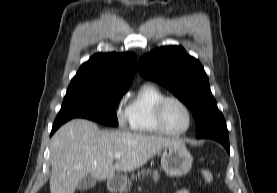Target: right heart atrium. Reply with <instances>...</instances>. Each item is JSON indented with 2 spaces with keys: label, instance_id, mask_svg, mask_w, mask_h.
Wrapping results in <instances>:
<instances>
[{
  "label": "right heart atrium",
  "instance_id": "1",
  "mask_svg": "<svg viewBox=\"0 0 277 193\" xmlns=\"http://www.w3.org/2000/svg\"><path fill=\"white\" fill-rule=\"evenodd\" d=\"M116 121L119 127L124 128L128 123V115L125 109L122 108L121 103L116 109Z\"/></svg>",
  "mask_w": 277,
  "mask_h": 193
}]
</instances>
